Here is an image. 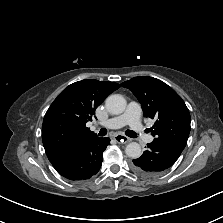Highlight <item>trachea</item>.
Returning <instances> with one entry per match:
<instances>
[{"label": "trachea", "instance_id": "trachea-1", "mask_svg": "<svg viewBox=\"0 0 223 223\" xmlns=\"http://www.w3.org/2000/svg\"><path fill=\"white\" fill-rule=\"evenodd\" d=\"M126 135L131 137V138H135L137 137L136 133L131 131V130H127L126 132ZM107 134V130L106 129H101L100 132H99V136H105Z\"/></svg>", "mask_w": 223, "mask_h": 223}]
</instances>
